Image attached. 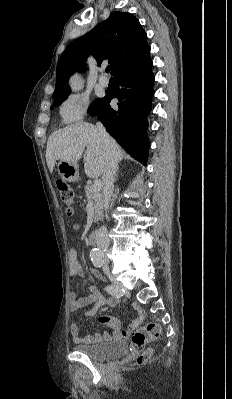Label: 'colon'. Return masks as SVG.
<instances>
[{"instance_id": "colon-1", "label": "colon", "mask_w": 232, "mask_h": 399, "mask_svg": "<svg viewBox=\"0 0 232 399\" xmlns=\"http://www.w3.org/2000/svg\"><path fill=\"white\" fill-rule=\"evenodd\" d=\"M58 191H61V201L71 203L67 206V217H72V207H76V202H73V186L67 185V180H56ZM157 321H150L149 326H137V330H132L130 335L131 353H141L142 358H148L149 352L145 351L148 347V341H154L155 337H161L162 331L157 330Z\"/></svg>"}]
</instances>
